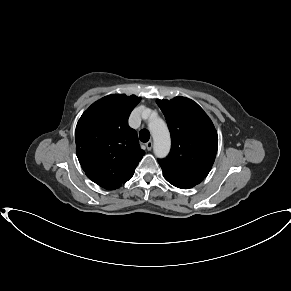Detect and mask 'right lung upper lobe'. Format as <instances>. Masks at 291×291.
Wrapping results in <instances>:
<instances>
[{"instance_id":"obj_1","label":"right lung upper lobe","mask_w":291,"mask_h":291,"mask_svg":"<svg viewBox=\"0 0 291 291\" xmlns=\"http://www.w3.org/2000/svg\"><path fill=\"white\" fill-rule=\"evenodd\" d=\"M141 98L111 94L93 103L79 119L76 154L87 177L99 186L122 184L145 154L128 117Z\"/></svg>"}]
</instances>
